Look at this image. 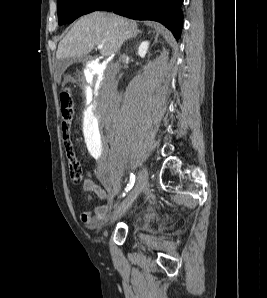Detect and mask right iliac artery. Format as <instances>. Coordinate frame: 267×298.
<instances>
[{"instance_id": "1", "label": "right iliac artery", "mask_w": 267, "mask_h": 298, "mask_svg": "<svg viewBox=\"0 0 267 298\" xmlns=\"http://www.w3.org/2000/svg\"><path fill=\"white\" fill-rule=\"evenodd\" d=\"M134 183H135V175H134V174H131V175H130V182H129V184H128L127 187H126L125 192H123V193L121 194V196H120L121 198L124 197V196L126 195V193H127L129 190L132 189Z\"/></svg>"}]
</instances>
